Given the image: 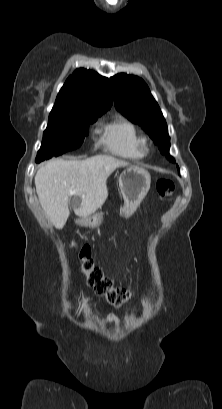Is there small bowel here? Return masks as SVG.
Returning <instances> with one entry per match:
<instances>
[{
  "mask_svg": "<svg viewBox=\"0 0 222 409\" xmlns=\"http://www.w3.org/2000/svg\"><path fill=\"white\" fill-rule=\"evenodd\" d=\"M101 324H112L113 326H117L119 324V318L110 313L108 315H106L101 321Z\"/></svg>",
  "mask_w": 222,
  "mask_h": 409,
  "instance_id": "obj_1",
  "label": "small bowel"
}]
</instances>
